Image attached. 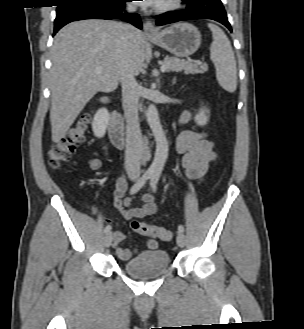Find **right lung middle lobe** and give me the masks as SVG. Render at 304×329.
Here are the masks:
<instances>
[{"label": "right lung middle lobe", "instance_id": "right-lung-middle-lobe-1", "mask_svg": "<svg viewBox=\"0 0 304 329\" xmlns=\"http://www.w3.org/2000/svg\"><path fill=\"white\" fill-rule=\"evenodd\" d=\"M61 4L74 3V2H99V1H109V0H59ZM60 4V5H61Z\"/></svg>", "mask_w": 304, "mask_h": 329}]
</instances>
